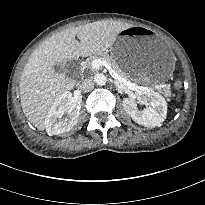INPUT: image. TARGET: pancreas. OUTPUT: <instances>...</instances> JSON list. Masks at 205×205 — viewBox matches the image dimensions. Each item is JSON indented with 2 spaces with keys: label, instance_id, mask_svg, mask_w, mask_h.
<instances>
[{
  "label": "pancreas",
  "instance_id": "obj_1",
  "mask_svg": "<svg viewBox=\"0 0 205 205\" xmlns=\"http://www.w3.org/2000/svg\"><path fill=\"white\" fill-rule=\"evenodd\" d=\"M95 59H101V60H105L107 63H109L111 65V67L114 69V71L116 73H118L119 75H121L123 78L128 79L127 75L119 68L117 62L108 54H104V53H99L96 55H92L90 57H88L85 62H84V66L87 68H92L91 64Z\"/></svg>",
  "mask_w": 205,
  "mask_h": 205
}]
</instances>
